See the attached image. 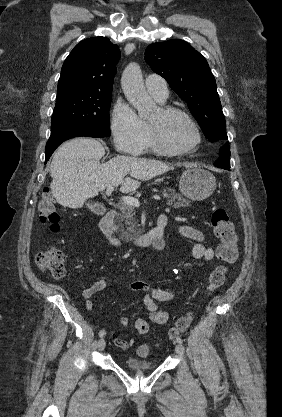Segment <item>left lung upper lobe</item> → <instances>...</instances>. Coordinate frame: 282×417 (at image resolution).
Masks as SVG:
<instances>
[{
	"mask_svg": "<svg viewBox=\"0 0 282 417\" xmlns=\"http://www.w3.org/2000/svg\"><path fill=\"white\" fill-rule=\"evenodd\" d=\"M145 60L163 76L193 114L210 142L227 140L216 82L206 59L187 42L174 39L149 45Z\"/></svg>",
	"mask_w": 282,
	"mask_h": 417,
	"instance_id": "obj_1",
	"label": "left lung upper lobe"
}]
</instances>
